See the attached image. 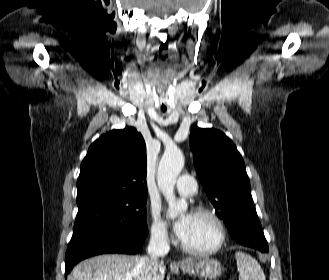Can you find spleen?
<instances>
[{
	"label": "spleen",
	"mask_w": 329,
	"mask_h": 280,
	"mask_svg": "<svg viewBox=\"0 0 329 280\" xmlns=\"http://www.w3.org/2000/svg\"><path fill=\"white\" fill-rule=\"evenodd\" d=\"M239 280H265L264 272L255 258L237 251L235 253Z\"/></svg>",
	"instance_id": "1"
}]
</instances>
